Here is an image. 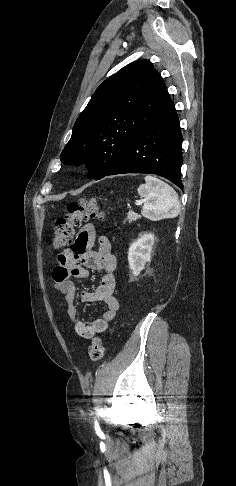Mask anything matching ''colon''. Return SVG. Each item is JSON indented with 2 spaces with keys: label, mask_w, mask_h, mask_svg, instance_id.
Returning a JSON list of instances; mask_svg holds the SVG:
<instances>
[{
  "label": "colon",
  "mask_w": 236,
  "mask_h": 486,
  "mask_svg": "<svg viewBox=\"0 0 236 486\" xmlns=\"http://www.w3.org/2000/svg\"><path fill=\"white\" fill-rule=\"evenodd\" d=\"M104 214L94 199H81L69 204L68 212L56 221L53 236V246L56 249L66 247L73 241L75 229L91 219H103ZM92 361L98 362L103 358L104 345L100 337L93 339L88 349Z\"/></svg>",
  "instance_id": "obj_1"
}]
</instances>
